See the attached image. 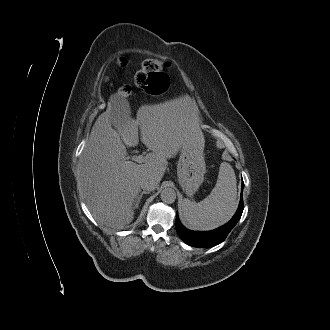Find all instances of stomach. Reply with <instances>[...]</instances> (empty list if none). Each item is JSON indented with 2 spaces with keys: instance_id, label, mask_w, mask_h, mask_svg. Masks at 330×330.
<instances>
[{
  "instance_id": "obj_1",
  "label": "stomach",
  "mask_w": 330,
  "mask_h": 330,
  "mask_svg": "<svg viewBox=\"0 0 330 330\" xmlns=\"http://www.w3.org/2000/svg\"><path fill=\"white\" fill-rule=\"evenodd\" d=\"M203 150L201 146H183L181 149L177 176L187 196H193L204 181L206 165Z\"/></svg>"
}]
</instances>
